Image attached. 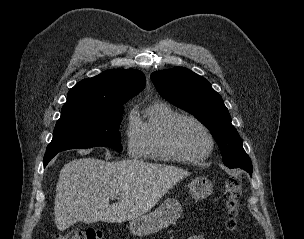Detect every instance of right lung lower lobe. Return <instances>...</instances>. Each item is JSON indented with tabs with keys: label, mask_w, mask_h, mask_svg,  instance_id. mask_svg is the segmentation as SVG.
<instances>
[{
	"label": "right lung lower lobe",
	"mask_w": 304,
	"mask_h": 239,
	"mask_svg": "<svg viewBox=\"0 0 304 239\" xmlns=\"http://www.w3.org/2000/svg\"><path fill=\"white\" fill-rule=\"evenodd\" d=\"M58 152L46 153L44 156V167L48 164V162L57 154Z\"/></svg>",
	"instance_id": "right-lung-lower-lobe-1"
}]
</instances>
